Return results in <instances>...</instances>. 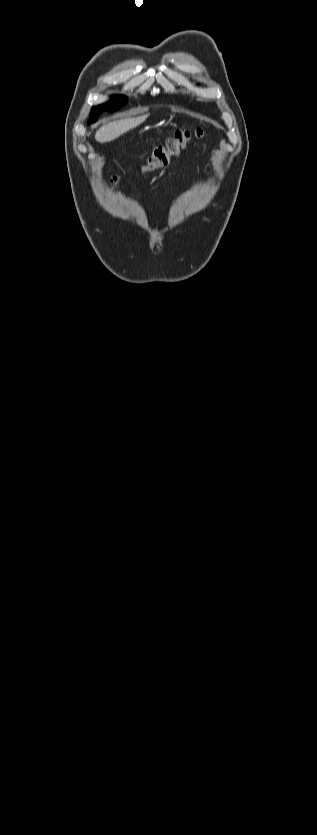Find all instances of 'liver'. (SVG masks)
Here are the masks:
<instances>
[{
	"label": "liver",
	"instance_id": "obj_1",
	"mask_svg": "<svg viewBox=\"0 0 317 835\" xmlns=\"http://www.w3.org/2000/svg\"><path fill=\"white\" fill-rule=\"evenodd\" d=\"M147 118L148 115L145 114L137 117L123 118L120 120L109 122L101 128H99V130L95 134V139L100 143L113 141L120 137L122 134L142 124Z\"/></svg>",
	"mask_w": 317,
	"mask_h": 835
}]
</instances>
